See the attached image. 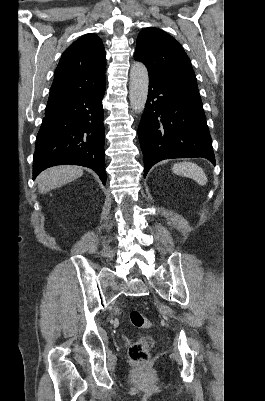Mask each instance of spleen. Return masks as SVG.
Returning a JSON list of instances; mask_svg holds the SVG:
<instances>
[{"mask_svg": "<svg viewBox=\"0 0 265 401\" xmlns=\"http://www.w3.org/2000/svg\"><path fill=\"white\" fill-rule=\"evenodd\" d=\"M173 172L175 174H180V176H189V178H193L196 180L198 184H207L208 178L201 166L195 164V162H176L172 166Z\"/></svg>", "mask_w": 265, "mask_h": 401, "instance_id": "obj_1", "label": "spleen"}]
</instances>
